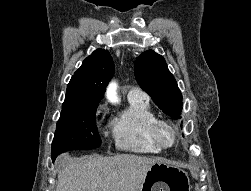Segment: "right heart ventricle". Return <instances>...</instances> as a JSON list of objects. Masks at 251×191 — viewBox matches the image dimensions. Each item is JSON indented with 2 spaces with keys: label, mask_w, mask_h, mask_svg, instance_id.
I'll return each mask as SVG.
<instances>
[{
  "label": "right heart ventricle",
  "mask_w": 251,
  "mask_h": 191,
  "mask_svg": "<svg viewBox=\"0 0 251 191\" xmlns=\"http://www.w3.org/2000/svg\"><path fill=\"white\" fill-rule=\"evenodd\" d=\"M155 116L148 98H128L127 109L112 123L116 149L142 156L158 154L149 138V125Z\"/></svg>",
  "instance_id": "obj_1"
}]
</instances>
